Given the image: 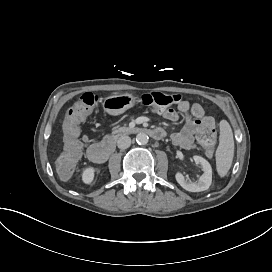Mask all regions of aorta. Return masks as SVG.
I'll list each match as a JSON object with an SVG mask.
<instances>
[{"label": "aorta", "mask_w": 272, "mask_h": 272, "mask_svg": "<svg viewBox=\"0 0 272 272\" xmlns=\"http://www.w3.org/2000/svg\"><path fill=\"white\" fill-rule=\"evenodd\" d=\"M148 140H149V137L146 133L140 132L136 136V142L138 144H142V145L147 144Z\"/></svg>", "instance_id": "aorta-1"}]
</instances>
